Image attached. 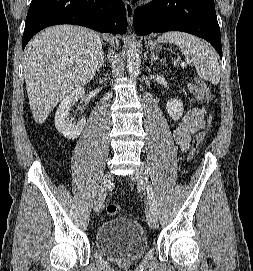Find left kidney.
Here are the masks:
<instances>
[{
    "label": "left kidney",
    "instance_id": "left-kidney-1",
    "mask_svg": "<svg viewBox=\"0 0 253 271\" xmlns=\"http://www.w3.org/2000/svg\"><path fill=\"white\" fill-rule=\"evenodd\" d=\"M166 110L173 120H179L183 115V102L181 99H170L166 103Z\"/></svg>",
    "mask_w": 253,
    "mask_h": 271
}]
</instances>
